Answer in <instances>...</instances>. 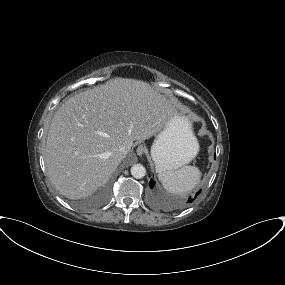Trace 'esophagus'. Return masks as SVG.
<instances>
[{
    "label": "esophagus",
    "mask_w": 285,
    "mask_h": 285,
    "mask_svg": "<svg viewBox=\"0 0 285 285\" xmlns=\"http://www.w3.org/2000/svg\"><path fill=\"white\" fill-rule=\"evenodd\" d=\"M145 152V147L143 145H139L136 149V153L139 156H142Z\"/></svg>",
    "instance_id": "obj_1"
}]
</instances>
